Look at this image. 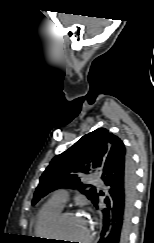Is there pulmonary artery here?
I'll list each match as a JSON object with an SVG mask.
<instances>
[{"mask_svg":"<svg viewBox=\"0 0 154 243\" xmlns=\"http://www.w3.org/2000/svg\"><path fill=\"white\" fill-rule=\"evenodd\" d=\"M97 184L103 186L100 179H97ZM50 200L64 207L68 201V193L65 189H57L53 192Z\"/></svg>","mask_w":154,"mask_h":243,"instance_id":"1","label":"pulmonary artery"}]
</instances>
